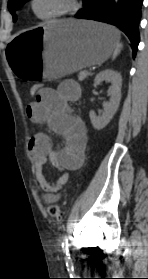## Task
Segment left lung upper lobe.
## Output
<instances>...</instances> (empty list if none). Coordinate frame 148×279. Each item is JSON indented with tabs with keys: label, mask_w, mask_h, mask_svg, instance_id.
Listing matches in <instances>:
<instances>
[{
	"label": "left lung upper lobe",
	"mask_w": 148,
	"mask_h": 279,
	"mask_svg": "<svg viewBox=\"0 0 148 279\" xmlns=\"http://www.w3.org/2000/svg\"><path fill=\"white\" fill-rule=\"evenodd\" d=\"M29 0H9L8 8L11 14L13 15L14 21L16 20L15 11L23 6Z\"/></svg>",
	"instance_id": "obj_1"
}]
</instances>
